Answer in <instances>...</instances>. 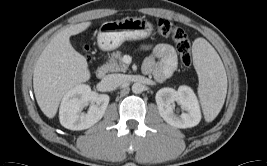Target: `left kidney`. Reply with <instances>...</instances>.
Returning a JSON list of instances; mask_svg holds the SVG:
<instances>
[{
    "instance_id": "1",
    "label": "left kidney",
    "mask_w": 267,
    "mask_h": 166,
    "mask_svg": "<svg viewBox=\"0 0 267 166\" xmlns=\"http://www.w3.org/2000/svg\"><path fill=\"white\" fill-rule=\"evenodd\" d=\"M160 116L169 125L176 128H191L201 120L200 106L194 91L188 86H180L176 91L173 88H162L155 96ZM175 102L186 112L176 115Z\"/></svg>"
}]
</instances>
